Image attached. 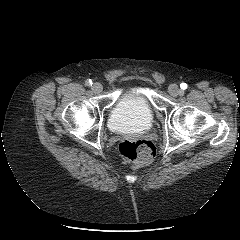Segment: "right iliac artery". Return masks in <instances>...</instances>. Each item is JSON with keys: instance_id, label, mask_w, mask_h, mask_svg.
I'll return each instance as SVG.
<instances>
[{"instance_id": "right-iliac-artery-1", "label": "right iliac artery", "mask_w": 240, "mask_h": 240, "mask_svg": "<svg viewBox=\"0 0 240 240\" xmlns=\"http://www.w3.org/2000/svg\"><path fill=\"white\" fill-rule=\"evenodd\" d=\"M85 85L86 86H92V81L90 79L86 80Z\"/></svg>"}]
</instances>
